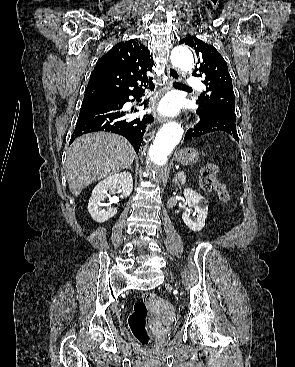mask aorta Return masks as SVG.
Wrapping results in <instances>:
<instances>
[{
  "label": "aorta",
  "mask_w": 295,
  "mask_h": 367,
  "mask_svg": "<svg viewBox=\"0 0 295 367\" xmlns=\"http://www.w3.org/2000/svg\"><path fill=\"white\" fill-rule=\"evenodd\" d=\"M171 61L183 71L190 72L193 69V55L187 48L177 47L173 49ZM182 136L183 128L177 122H168L160 128L148 151L149 164L153 170H157L167 163L168 155L180 143Z\"/></svg>",
  "instance_id": "1"
}]
</instances>
